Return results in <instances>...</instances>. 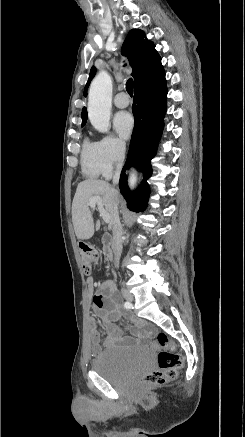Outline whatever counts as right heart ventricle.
Segmentation results:
<instances>
[{"label": "right heart ventricle", "mask_w": 245, "mask_h": 437, "mask_svg": "<svg viewBox=\"0 0 245 437\" xmlns=\"http://www.w3.org/2000/svg\"><path fill=\"white\" fill-rule=\"evenodd\" d=\"M81 167L83 173L88 177H98L102 175V167L98 159L96 143L85 139L81 151Z\"/></svg>", "instance_id": "1"}]
</instances>
